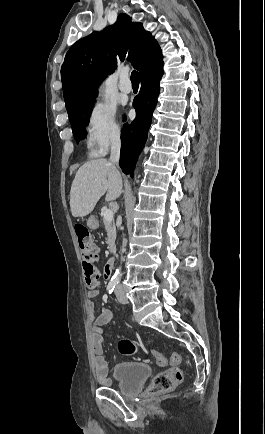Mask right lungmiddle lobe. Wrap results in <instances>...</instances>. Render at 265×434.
<instances>
[{
    "instance_id": "dd1d6c3e",
    "label": "right lung middle lobe",
    "mask_w": 265,
    "mask_h": 434,
    "mask_svg": "<svg viewBox=\"0 0 265 434\" xmlns=\"http://www.w3.org/2000/svg\"><path fill=\"white\" fill-rule=\"evenodd\" d=\"M96 93L97 92L85 98L66 103L72 130L77 141H79L80 138H84L87 133L85 127L89 123Z\"/></svg>"
}]
</instances>
